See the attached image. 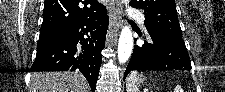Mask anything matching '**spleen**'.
<instances>
[{
  "label": "spleen",
  "instance_id": "obj_1",
  "mask_svg": "<svg viewBox=\"0 0 225 92\" xmlns=\"http://www.w3.org/2000/svg\"><path fill=\"white\" fill-rule=\"evenodd\" d=\"M137 71H132L126 80V90L127 92H139L137 84ZM174 92H183L180 86L175 87Z\"/></svg>",
  "mask_w": 225,
  "mask_h": 92
}]
</instances>
